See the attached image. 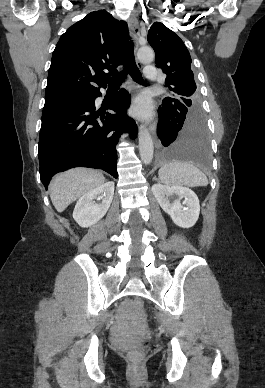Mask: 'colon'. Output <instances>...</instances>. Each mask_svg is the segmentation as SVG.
I'll return each mask as SVG.
<instances>
[{"instance_id": "colon-1", "label": "colon", "mask_w": 265, "mask_h": 388, "mask_svg": "<svg viewBox=\"0 0 265 388\" xmlns=\"http://www.w3.org/2000/svg\"><path fill=\"white\" fill-rule=\"evenodd\" d=\"M135 311L138 313V315L141 317L142 320L146 319L145 316V301L143 298L138 297L134 300L133 303ZM147 345V341L143 343V346L145 347ZM129 354L132 357H138L140 355V350L138 348L129 349Z\"/></svg>"}]
</instances>
